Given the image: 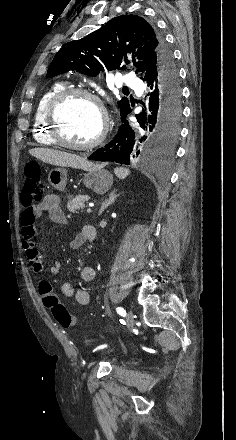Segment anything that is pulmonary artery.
I'll return each mask as SVG.
<instances>
[{"label":"pulmonary artery","mask_w":236,"mask_h":440,"mask_svg":"<svg viewBox=\"0 0 236 440\" xmlns=\"http://www.w3.org/2000/svg\"><path fill=\"white\" fill-rule=\"evenodd\" d=\"M121 85H124L133 90H141L142 84L141 82L132 74H126L120 77Z\"/></svg>","instance_id":"e3ab8cb5"}]
</instances>
